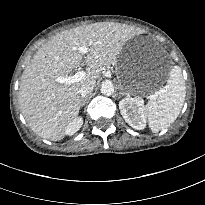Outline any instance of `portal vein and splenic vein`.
<instances>
[{"instance_id":"1","label":"portal vein and splenic vein","mask_w":205,"mask_h":205,"mask_svg":"<svg viewBox=\"0 0 205 205\" xmlns=\"http://www.w3.org/2000/svg\"><path fill=\"white\" fill-rule=\"evenodd\" d=\"M79 52L81 53H87L88 48L86 46H81L78 48ZM86 77V71L83 68H80L74 75L72 76H60L55 79L56 82L60 84H73L76 82H79Z\"/></svg>"}]
</instances>
